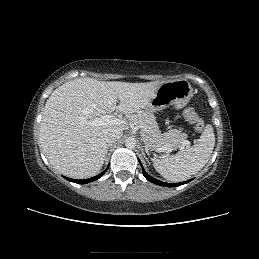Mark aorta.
I'll return each instance as SVG.
<instances>
[{"mask_svg":"<svg viewBox=\"0 0 259 259\" xmlns=\"http://www.w3.org/2000/svg\"><path fill=\"white\" fill-rule=\"evenodd\" d=\"M125 146L129 149H133L136 146V140L135 138L129 137L125 141Z\"/></svg>","mask_w":259,"mask_h":259,"instance_id":"762f6f07","label":"aorta"}]
</instances>
